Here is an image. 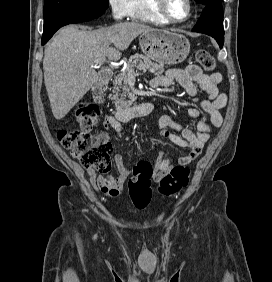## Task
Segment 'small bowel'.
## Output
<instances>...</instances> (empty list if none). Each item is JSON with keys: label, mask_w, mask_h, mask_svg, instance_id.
<instances>
[{"label": "small bowel", "mask_w": 272, "mask_h": 282, "mask_svg": "<svg viewBox=\"0 0 272 282\" xmlns=\"http://www.w3.org/2000/svg\"><path fill=\"white\" fill-rule=\"evenodd\" d=\"M220 81L221 75L219 73L208 75L199 66L188 65L184 69H169L164 75L153 79L151 82L154 89H167L178 83L190 97L197 95L198 88L205 93V97L199 102L198 107L191 106L188 109L189 117L198 120L195 133L169 115H162L158 119V126L163 137L178 146L189 149L186 155L178 158L179 165L190 164L200 154L208 141L212 127H219L223 122L220 111L227 103V96L219 90ZM103 126L107 129L112 128L118 138H122L124 135L122 124L112 115L106 116ZM113 160L116 167L115 175L102 174L94 169H87L86 172L95 190L105 196L117 199L123 195L124 183L131 170L125 166L121 155L116 154ZM147 164L150 166L149 163ZM173 167L174 164L171 159L160 155L153 167V180L155 182L160 181Z\"/></svg>", "instance_id": "c3829d8e"}]
</instances>
